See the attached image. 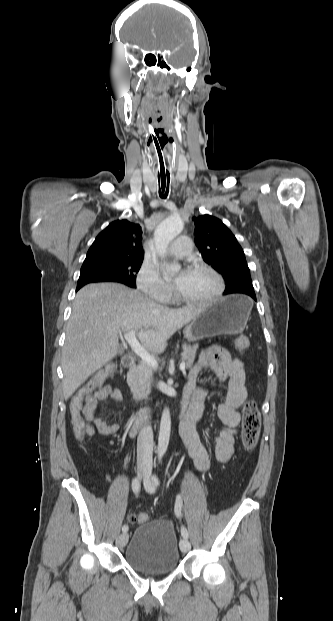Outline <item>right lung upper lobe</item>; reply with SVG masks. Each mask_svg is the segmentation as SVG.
<instances>
[{
    "label": "right lung upper lobe",
    "mask_w": 333,
    "mask_h": 621,
    "mask_svg": "<svg viewBox=\"0 0 333 621\" xmlns=\"http://www.w3.org/2000/svg\"><path fill=\"white\" fill-rule=\"evenodd\" d=\"M142 229L128 220L110 223L96 237L85 260L105 258L143 259Z\"/></svg>",
    "instance_id": "cb5924a9"
}]
</instances>
